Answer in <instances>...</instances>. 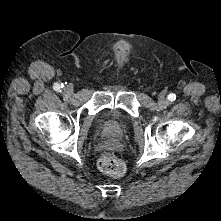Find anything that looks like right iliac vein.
<instances>
[{
    "label": "right iliac vein",
    "mask_w": 221,
    "mask_h": 221,
    "mask_svg": "<svg viewBox=\"0 0 221 221\" xmlns=\"http://www.w3.org/2000/svg\"><path fill=\"white\" fill-rule=\"evenodd\" d=\"M63 93L67 96H70L73 93V89L71 87H65L63 89Z\"/></svg>",
    "instance_id": "right-iliac-vein-1"
}]
</instances>
